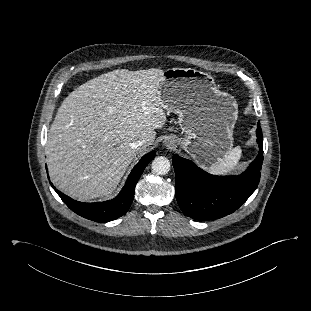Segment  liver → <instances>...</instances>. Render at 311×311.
I'll return each mask as SVG.
<instances>
[{"label": "liver", "instance_id": "obj_1", "mask_svg": "<svg viewBox=\"0 0 311 311\" xmlns=\"http://www.w3.org/2000/svg\"><path fill=\"white\" fill-rule=\"evenodd\" d=\"M161 69H117L82 84L64 99L48 132L53 184L80 201L110 196L138 152L167 121ZM144 139L138 150L130 143Z\"/></svg>", "mask_w": 311, "mask_h": 311}]
</instances>
